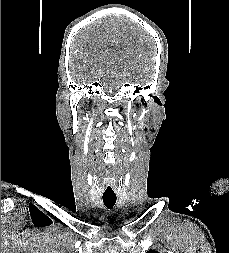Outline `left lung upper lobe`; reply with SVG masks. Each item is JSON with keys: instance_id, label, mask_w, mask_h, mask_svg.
Wrapping results in <instances>:
<instances>
[{"instance_id": "obj_1", "label": "left lung upper lobe", "mask_w": 229, "mask_h": 253, "mask_svg": "<svg viewBox=\"0 0 229 253\" xmlns=\"http://www.w3.org/2000/svg\"><path fill=\"white\" fill-rule=\"evenodd\" d=\"M148 253H158L157 251H149Z\"/></svg>"}]
</instances>
